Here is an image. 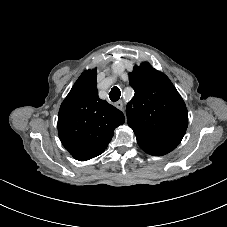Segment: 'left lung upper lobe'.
Listing matches in <instances>:
<instances>
[{
	"label": "left lung upper lobe",
	"instance_id": "left-lung-upper-lobe-1",
	"mask_svg": "<svg viewBox=\"0 0 227 227\" xmlns=\"http://www.w3.org/2000/svg\"><path fill=\"white\" fill-rule=\"evenodd\" d=\"M129 83L135 94L127 106L128 125L178 145L188 126V113L169 78L143 62L129 73Z\"/></svg>",
	"mask_w": 227,
	"mask_h": 227
}]
</instances>
